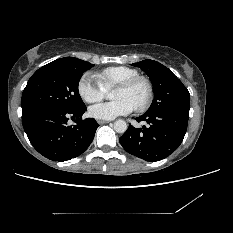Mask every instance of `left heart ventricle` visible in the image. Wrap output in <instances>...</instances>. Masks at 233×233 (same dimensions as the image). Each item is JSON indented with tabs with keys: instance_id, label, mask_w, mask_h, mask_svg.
Here are the masks:
<instances>
[{
	"instance_id": "obj_1",
	"label": "left heart ventricle",
	"mask_w": 233,
	"mask_h": 233,
	"mask_svg": "<svg viewBox=\"0 0 233 233\" xmlns=\"http://www.w3.org/2000/svg\"><path fill=\"white\" fill-rule=\"evenodd\" d=\"M146 96V88L143 83L139 82L131 89L115 88L113 92V99H126L134 107L140 105Z\"/></svg>"
}]
</instances>
